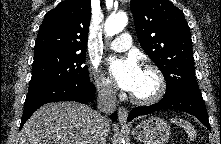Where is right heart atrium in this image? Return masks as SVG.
I'll list each match as a JSON object with an SVG mask.
<instances>
[{"mask_svg":"<svg viewBox=\"0 0 221 144\" xmlns=\"http://www.w3.org/2000/svg\"><path fill=\"white\" fill-rule=\"evenodd\" d=\"M93 75L99 94L105 98H112L115 94V86L113 82L102 75L98 67H94Z\"/></svg>","mask_w":221,"mask_h":144,"instance_id":"d8ad5b80","label":"right heart atrium"}]
</instances>
